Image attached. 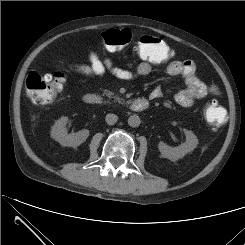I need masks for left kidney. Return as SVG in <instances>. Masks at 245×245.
Masks as SVG:
<instances>
[{
	"mask_svg": "<svg viewBox=\"0 0 245 245\" xmlns=\"http://www.w3.org/2000/svg\"><path fill=\"white\" fill-rule=\"evenodd\" d=\"M184 133L186 136V142L178 147H170L162 141L159 142L158 148L164 158H168L172 161L178 160L197 147L198 139L196 135L192 131L186 129H184Z\"/></svg>",
	"mask_w": 245,
	"mask_h": 245,
	"instance_id": "obj_1",
	"label": "left kidney"
}]
</instances>
